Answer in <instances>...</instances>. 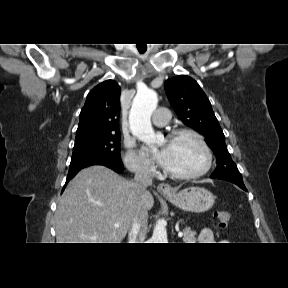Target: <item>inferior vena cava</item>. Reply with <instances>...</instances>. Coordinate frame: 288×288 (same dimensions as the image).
Listing matches in <instances>:
<instances>
[{
	"label": "inferior vena cava",
	"instance_id": "inferior-vena-cava-1",
	"mask_svg": "<svg viewBox=\"0 0 288 288\" xmlns=\"http://www.w3.org/2000/svg\"><path fill=\"white\" fill-rule=\"evenodd\" d=\"M134 181L141 193H144L146 188L152 185V178L144 169H138L135 171ZM147 225L148 213L142 209L141 202H139L136 214L129 229L128 243H144L147 233Z\"/></svg>",
	"mask_w": 288,
	"mask_h": 288
}]
</instances>
